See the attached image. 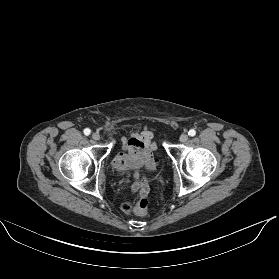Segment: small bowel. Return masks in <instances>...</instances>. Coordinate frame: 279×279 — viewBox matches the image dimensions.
Segmentation results:
<instances>
[{"mask_svg":"<svg viewBox=\"0 0 279 279\" xmlns=\"http://www.w3.org/2000/svg\"><path fill=\"white\" fill-rule=\"evenodd\" d=\"M122 143V151L115 156L113 166L117 170H136L138 178L131 190L138 192L141 196H146L149 191V181L141 175V172H151L156 167L157 160L153 154L156 144L153 141V132L144 128L128 139L123 138Z\"/></svg>","mask_w":279,"mask_h":279,"instance_id":"obj_1","label":"small bowel"}]
</instances>
